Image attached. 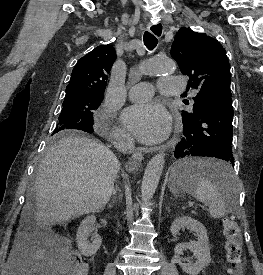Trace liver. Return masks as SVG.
Returning a JSON list of instances; mask_svg holds the SVG:
<instances>
[{
  "instance_id": "obj_1",
  "label": "liver",
  "mask_w": 263,
  "mask_h": 275,
  "mask_svg": "<svg viewBox=\"0 0 263 275\" xmlns=\"http://www.w3.org/2000/svg\"><path fill=\"white\" fill-rule=\"evenodd\" d=\"M119 170L115 154L99 141L80 135L61 137L47 150L36 175V222L52 226L103 210ZM29 209L28 203L22 218Z\"/></svg>"
}]
</instances>
